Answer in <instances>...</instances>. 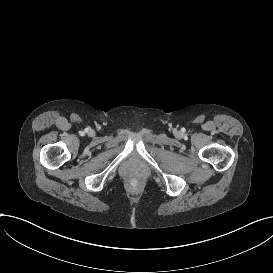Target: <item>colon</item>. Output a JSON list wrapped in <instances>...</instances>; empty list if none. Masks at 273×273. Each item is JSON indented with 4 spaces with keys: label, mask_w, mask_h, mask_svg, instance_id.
Returning a JSON list of instances; mask_svg holds the SVG:
<instances>
[{
    "label": "colon",
    "mask_w": 273,
    "mask_h": 273,
    "mask_svg": "<svg viewBox=\"0 0 273 273\" xmlns=\"http://www.w3.org/2000/svg\"><path fill=\"white\" fill-rule=\"evenodd\" d=\"M142 184L139 180L132 178L127 183V189L132 194H137L140 192Z\"/></svg>",
    "instance_id": "5ec220e1"
}]
</instances>
